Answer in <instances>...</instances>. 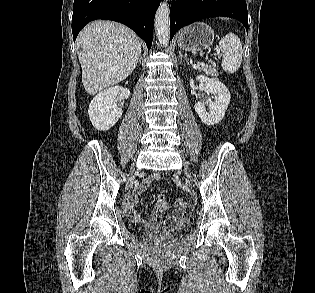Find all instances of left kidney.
<instances>
[{
  "instance_id": "1",
  "label": "left kidney",
  "mask_w": 315,
  "mask_h": 293,
  "mask_svg": "<svg viewBox=\"0 0 315 293\" xmlns=\"http://www.w3.org/2000/svg\"><path fill=\"white\" fill-rule=\"evenodd\" d=\"M196 79L200 83H204L205 90L208 94L214 95V101L197 102L194 106L195 111L205 124L213 126L223 119L230 103V92L227 87L218 80L203 75L197 76ZM205 105L208 106V109H206Z\"/></svg>"
}]
</instances>
